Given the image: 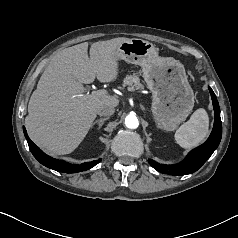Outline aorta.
Masks as SVG:
<instances>
[{
    "label": "aorta",
    "mask_w": 238,
    "mask_h": 238,
    "mask_svg": "<svg viewBox=\"0 0 238 238\" xmlns=\"http://www.w3.org/2000/svg\"><path fill=\"white\" fill-rule=\"evenodd\" d=\"M125 125L129 129H136L139 126L138 118L134 113H130L126 116Z\"/></svg>",
    "instance_id": "762f6f07"
}]
</instances>
